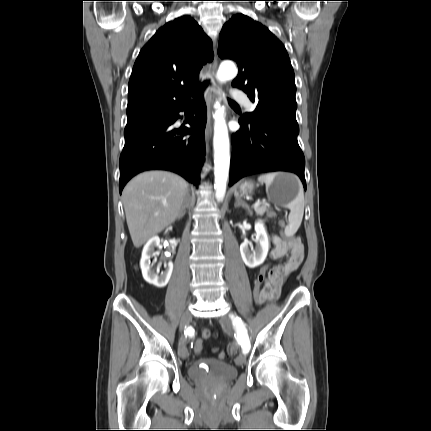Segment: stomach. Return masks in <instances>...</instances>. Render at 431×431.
<instances>
[{"label":"stomach","instance_id":"stomach-1","mask_svg":"<svg viewBox=\"0 0 431 431\" xmlns=\"http://www.w3.org/2000/svg\"><path fill=\"white\" fill-rule=\"evenodd\" d=\"M255 185L252 181H245L239 187L242 195L252 193ZM298 178L290 173H278L270 185H267L268 200L277 206H288L300 190Z\"/></svg>","mask_w":431,"mask_h":431}]
</instances>
